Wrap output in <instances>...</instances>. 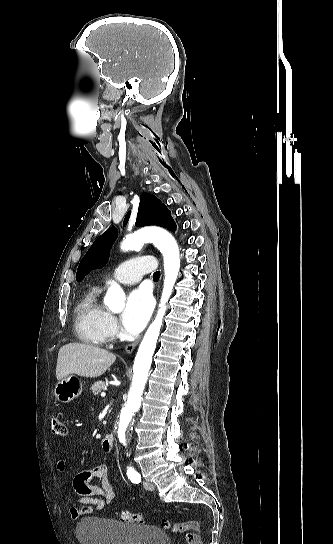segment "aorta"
Returning <instances> with one entry per match:
<instances>
[{"label": "aorta", "mask_w": 333, "mask_h": 544, "mask_svg": "<svg viewBox=\"0 0 333 544\" xmlns=\"http://www.w3.org/2000/svg\"><path fill=\"white\" fill-rule=\"evenodd\" d=\"M146 242H152L163 254L165 279L159 310L155 320L149 326L138 348L133 365L134 375L128 394V400L120 413L117 432L120 442L125 446L131 439L130 422L133 413L136 412L141 405V396L151 367L157 339L160 334L163 316L166 311V302L172 293L180 269L178 245L175 239L167 231L161 228L146 227L126 236L121 244V249L123 251L135 250L141 248ZM124 302L125 294L123 289L119 284L113 282L104 297L105 305L111 311L118 312L123 309Z\"/></svg>", "instance_id": "aorta-1"}]
</instances>
